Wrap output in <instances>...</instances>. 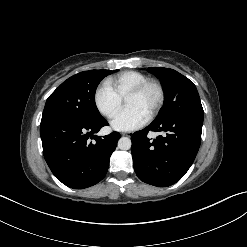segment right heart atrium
Segmentation results:
<instances>
[{"label":"right heart atrium","instance_id":"obj_1","mask_svg":"<svg viewBox=\"0 0 247 247\" xmlns=\"http://www.w3.org/2000/svg\"><path fill=\"white\" fill-rule=\"evenodd\" d=\"M94 104L101 115L113 118L119 111L122 100L108 85L103 84L94 92Z\"/></svg>","mask_w":247,"mask_h":247}]
</instances>
